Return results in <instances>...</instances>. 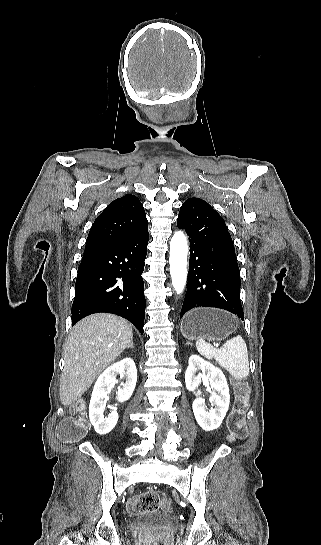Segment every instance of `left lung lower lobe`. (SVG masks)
Instances as JSON below:
<instances>
[{"label": "left lung lower lobe", "mask_w": 321, "mask_h": 545, "mask_svg": "<svg viewBox=\"0 0 321 545\" xmlns=\"http://www.w3.org/2000/svg\"><path fill=\"white\" fill-rule=\"evenodd\" d=\"M177 226L190 237L187 292L180 318L195 307H216L244 320L240 271L224 219L206 202L183 205Z\"/></svg>", "instance_id": "obj_1"}]
</instances>
